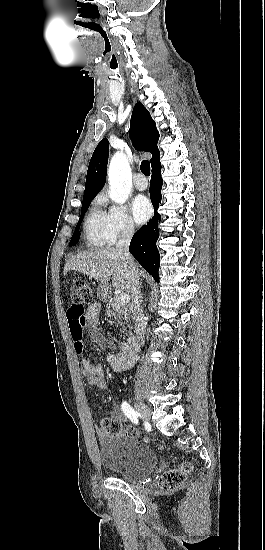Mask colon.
<instances>
[{"instance_id":"obj_1","label":"colon","mask_w":265,"mask_h":550,"mask_svg":"<svg viewBox=\"0 0 265 550\" xmlns=\"http://www.w3.org/2000/svg\"><path fill=\"white\" fill-rule=\"evenodd\" d=\"M72 304L67 310L70 319L72 335L77 337L83 330L82 324L85 319V305L93 300V292L87 282L81 279H74L70 284ZM102 430L110 436H123L136 438L140 436L139 431L132 426H124L120 421L111 418L102 420ZM190 463H182L179 467L164 472L158 481L159 488L164 492H172L180 488L187 475L191 472Z\"/></svg>"}]
</instances>
